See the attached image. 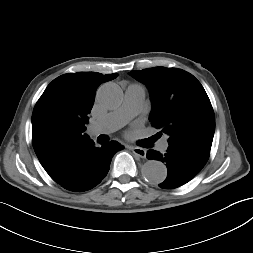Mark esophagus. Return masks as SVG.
<instances>
[{
  "instance_id": "esophagus-1",
  "label": "esophagus",
  "mask_w": 253,
  "mask_h": 253,
  "mask_svg": "<svg viewBox=\"0 0 253 253\" xmlns=\"http://www.w3.org/2000/svg\"><path fill=\"white\" fill-rule=\"evenodd\" d=\"M132 152L140 158H146V150L141 147H132Z\"/></svg>"
}]
</instances>
